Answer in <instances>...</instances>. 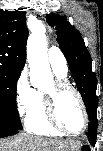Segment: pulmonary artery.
Wrapping results in <instances>:
<instances>
[{
    "label": "pulmonary artery",
    "instance_id": "pulmonary-artery-1",
    "mask_svg": "<svg viewBox=\"0 0 103 151\" xmlns=\"http://www.w3.org/2000/svg\"><path fill=\"white\" fill-rule=\"evenodd\" d=\"M48 60L53 69L67 73L68 67L66 58L58 47H50L48 50Z\"/></svg>",
    "mask_w": 103,
    "mask_h": 151
}]
</instances>
